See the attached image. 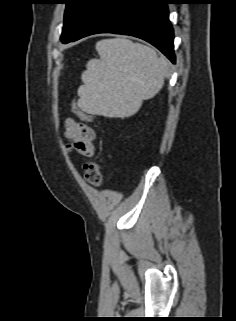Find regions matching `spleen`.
<instances>
[{
	"mask_svg": "<svg viewBox=\"0 0 236 321\" xmlns=\"http://www.w3.org/2000/svg\"><path fill=\"white\" fill-rule=\"evenodd\" d=\"M100 59H92L82 73L79 107L89 114L126 117L144 99L154 97L169 76V63L148 46L124 38L96 43Z\"/></svg>",
	"mask_w": 236,
	"mask_h": 321,
	"instance_id": "1",
	"label": "spleen"
}]
</instances>
